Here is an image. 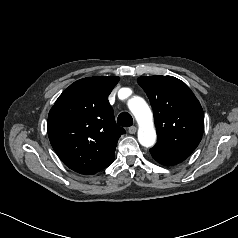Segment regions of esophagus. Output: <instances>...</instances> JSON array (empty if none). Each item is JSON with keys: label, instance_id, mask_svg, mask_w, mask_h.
Wrapping results in <instances>:
<instances>
[{"label": "esophagus", "instance_id": "34e87169", "mask_svg": "<svg viewBox=\"0 0 238 238\" xmlns=\"http://www.w3.org/2000/svg\"><path fill=\"white\" fill-rule=\"evenodd\" d=\"M136 131H137V127H135V126H131V127L128 129V132H129L130 134H135Z\"/></svg>", "mask_w": 238, "mask_h": 238}]
</instances>
